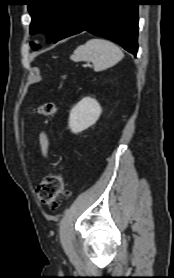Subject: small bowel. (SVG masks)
<instances>
[{
  "label": "small bowel",
  "mask_w": 174,
  "mask_h": 278,
  "mask_svg": "<svg viewBox=\"0 0 174 278\" xmlns=\"http://www.w3.org/2000/svg\"><path fill=\"white\" fill-rule=\"evenodd\" d=\"M39 141L43 154L47 156L49 152V141L45 132L39 134Z\"/></svg>",
  "instance_id": "c3829d8e"
}]
</instances>
